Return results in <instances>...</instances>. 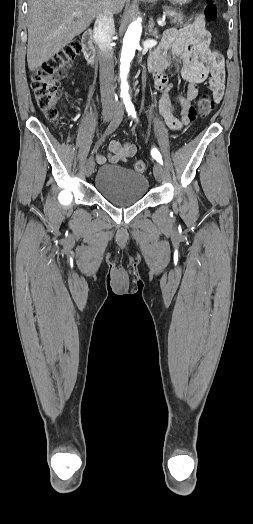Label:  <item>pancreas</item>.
Returning <instances> with one entry per match:
<instances>
[{"instance_id": "pancreas-1", "label": "pancreas", "mask_w": 253, "mask_h": 524, "mask_svg": "<svg viewBox=\"0 0 253 524\" xmlns=\"http://www.w3.org/2000/svg\"><path fill=\"white\" fill-rule=\"evenodd\" d=\"M164 14L171 18L172 23L183 24L184 16L177 9L166 7Z\"/></svg>"}]
</instances>
